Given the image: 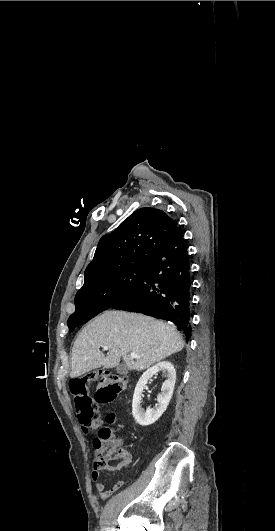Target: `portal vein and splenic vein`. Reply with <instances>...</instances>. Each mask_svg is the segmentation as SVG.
Wrapping results in <instances>:
<instances>
[{"label": "portal vein and splenic vein", "mask_w": 275, "mask_h": 531, "mask_svg": "<svg viewBox=\"0 0 275 531\" xmlns=\"http://www.w3.org/2000/svg\"><path fill=\"white\" fill-rule=\"evenodd\" d=\"M104 351H108V347H103ZM130 357H132V359H141V357H138V355H136V353H130Z\"/></svg>", "instance_id": "1"}]
</instances>
